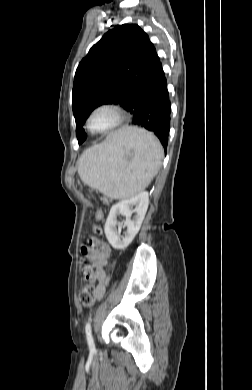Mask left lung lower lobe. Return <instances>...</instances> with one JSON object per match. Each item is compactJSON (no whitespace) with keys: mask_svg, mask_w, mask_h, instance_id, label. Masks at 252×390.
<instances>
[{"mask_svg":"<svg viewBox=\"0 0 252 390\" xmlns=\"http://www.w3.org/2000/svg\"><path fill=\"white\" fill-rule=\"evenodd\" d=\"M170 105L167 81L159 61L131 95L125 109L132 114L131 124L153 132L165 151L170 128Z\"/></svg>","mask_w":252,"mask_h":390,"instance_id":"obj_1","label":"left lung lower lobe"}]
</instances>
